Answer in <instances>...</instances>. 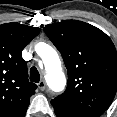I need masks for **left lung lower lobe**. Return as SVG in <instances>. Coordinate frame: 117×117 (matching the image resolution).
<instances>
[{
    "mask_svg": "<svg viewBox=\"0 0 117 117\" xmlns=\"http://www.w3.org/2000/svg\"><path fill=\"white\" fill-rule=\"evenodd\" d=\"M55 113H56L57 117H70V116H68V115L59 114V113L56 112V111H55Z\"/></svg>",
    "mask_w": 117,
    "mask_h": 117,
    "instance_id": "obj_1",
    "label": "left lung lower lobe"
}]
</instances>
